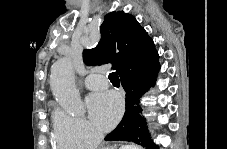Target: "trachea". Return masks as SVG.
I'll return each mask as SVG.
<instances>
[{
    "instance_id": "obj_1",
    "label": "trachea",
    "mask_w": 227,
    "mask_h": 149,
    "mask_svg": "<svg viewBox=\"0 0 227 149\" xmlns=\"http://www.w3.org/2000/svg\"><path fill=\"white\" fill-rule=\"evenodd\" d=\"M109 80L111 81V83L113 85H119L120 84V80H119V76H118L117 72H111L109 74Z\"/></svg>"
}]
</instances>
